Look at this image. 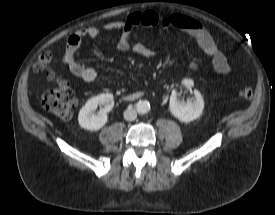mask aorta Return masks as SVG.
<instances>
[{
    "instance_id": "762f6f07",
    "label": "aorta",
    "mask_w": 275,
    "mask_h": 215,
    "mask_svg": "<svg viewBox=\"0 0 275 215\" xmlns=\"http://www.w3.org/2000/svg\"><path fill=\"white\" fill-rule=\"evenodd\" d=\"M136 110L140 114L148 113L150 111V104H149V102H147V101H139L136 104Z\"/></svg>"
}]
</instances>
